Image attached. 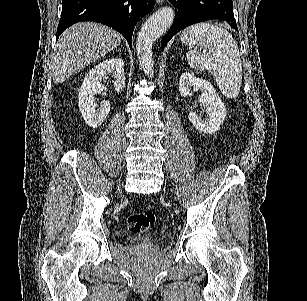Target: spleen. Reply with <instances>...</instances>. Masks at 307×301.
Listing matches in <instances>:
<instances>
[{"mask_svg": "<svg viewBox=\"0 0 307 301\" xmlns=\"http://www.w3.org/2000/svg\"><path fill=\"white\" fill-rule=\"evenodd\" d=\"M180 40L188 46L197 44L208 50L207 54L194 48L187 50L186 56L191 68L209 70L222 94L227 98H236L241 88L242 62L232 34L217 24L197 22L184 28Z\"/></svg>", "mask_w": 307, "mask_h": 301, "instance_id": "spleen-1", "label": "spleen"}]
</instances>
